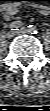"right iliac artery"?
Instances as JSON below:
<instances>
[{
  "instance_id": "1",
  "label": "right iliac artery",
  "mask_w": 50,
  "mask_h": 111,
  "mask_svg": "<svg viewBox=\"0 0 50 111\" xmlns=\"http://www.w3.org/2000/svg\"><path fill=\"white\" fill-rule=\"evenodd\" d=\"M22 23L20 21H14L10 24V29L11 30H19L22 27Z\"/></svg>"
}]
</instances>
